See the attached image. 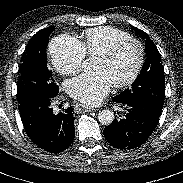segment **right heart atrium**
Segmentation results:
<instances>
[{"mask_svg":"<svg viewBox=\"0 0 183 183\" xmlns=\"http://www.w3.org/2000/svg\"><path fill=\"white\" fill-rule=\"evenodd\" d=\"M50 55L54 68L62 75L77 73L85 59L80 42L68 34L60 35L51 42Z\"/></svg>","mask_w":183,"mask_h":183,"instance_id":"obj_1","label":"right heart atrium"}]
</instances>
